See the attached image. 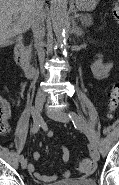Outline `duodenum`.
<instances>
[{"mask_svg":"<svg viewBox=\"0 0 119 185\" xmlns=\"http://www.w3.org/2000/svg\"><path fill=\"white\" fill-rule=\"evenodd\" d=\"M14 54L16 63L22 68L26 77L29 79L35 78L37 70L29 61L28 51L22 37H19L17 40Z\"/></svg>","mask_w":119,"mask_h":185,"instance_id":"obj_1","label":"duodenum"}]
</instances>
